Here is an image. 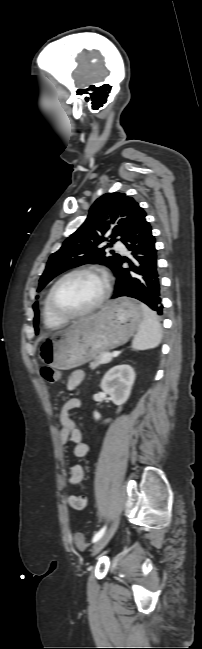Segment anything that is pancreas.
Segmentation results:
<instances>
[{"label": "pancreas", "instance_id": "pancreas-1", "mask_svg": "<svg viewBox=\"0 0 202 649\" xmlns=\"http://www.w3.org/2000/svg\"><path fill=\"white\" fill-rule=\"evenodd\" d=\"M102 354H103V353L98 354V355L94 358V360L90 363V368H91V369H95V368L98 367L99 365L104 364V363L102 362V357H101Z\"/></svg>", "mask_w": 202, "mask_h": 649}]
</instances>
